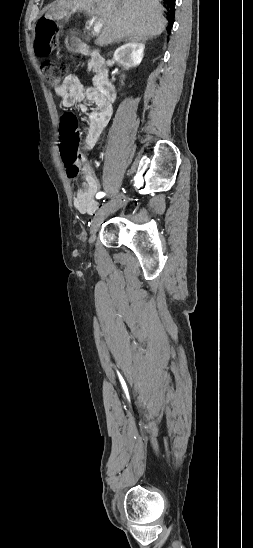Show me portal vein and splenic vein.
I'll list each match as a JSON object with an SVG mask.
<instances>
[{"label": "portal vein and splenic vein", "mask_w": 253, "mask_h": 548, "mask_svg": "<svg viewBox=\"0 0 253 548\" xmlns=\"http://www.w3.org/2000/svg\"><path fill=\"white\" fill-rule=\"evenodd\" d=\"M72 12H73V13L76 12V9H73ZM102 26H103V25H102V23H101V19H100V18H99V19H95L94 24H93V31H92V33H93L94 35L98 34V33L101 31Z\"/></svg>", "instance_id": "18ae733b"}]
</instances>
